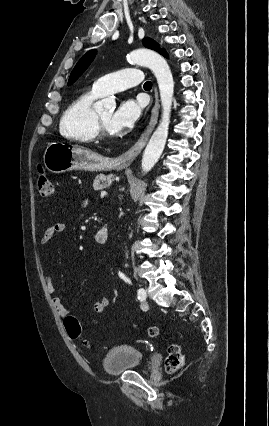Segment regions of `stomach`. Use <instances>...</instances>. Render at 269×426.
<instances>
[{
    "label": "stomach",
    "instance_id": "obj_1",
    "mask_svg": "<svg viewBox=\"0 0 269 426\" xmlns=\"http://www.w3.org/2000/svg\"><path fill=\"white\" fill-rule=\"evenodd\" d=\"M43 163L54 174L71 170L103 171L121 169L126 164L117 159H109L77 145L51 142L47 145Z\"/></svg>",
    "mask_w": 269,
    "mask_h": 426
}]
</instances>
